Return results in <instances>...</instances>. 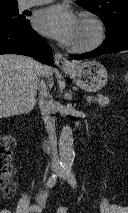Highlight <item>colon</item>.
Here are the masks:
<instances>
[{"label":"colon","mask_w":128,"mask_h":213,"mask_svg":"<svg viewBox=\"0 0 128 213\" xmlns=\"http://www.w3.org/2000/svg\"><path fill=\"white\" fill-rule=\"evenodd\" d=\"M128 84V72L125 76ZM15 146V138L12 134H4L0 136V187L5 189V195L10 197L14 194L11 184L14 175L12 165L13 152ZM56 213H69L66 207L59 208Z\"/></svg>","instance_id":"5ec220e1"}]
</instances>
